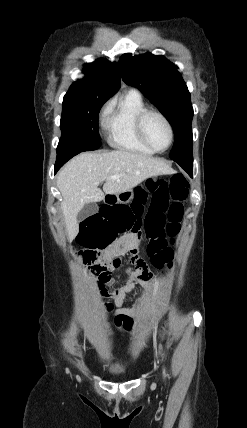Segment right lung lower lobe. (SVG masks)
Wrapping results in <instances>:
<instances>
[{
	"mask_svg": "<svg viewBox=\"0 0 247 428\" xmlns=\"http://www.w3.org/2000/svg\"><path fill=\"white\" fill-rule=\"evenodd\" d=\"M78 153H59L57 154V160L55 163L54 172L56 173L69 159L77 155Z\"/></svg>",
	"mask_w": 247,
	"mask_h": 428,
	"instance_id": "obj_1",
	"label": "right lung lower lobe"
}]
</instances>
